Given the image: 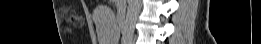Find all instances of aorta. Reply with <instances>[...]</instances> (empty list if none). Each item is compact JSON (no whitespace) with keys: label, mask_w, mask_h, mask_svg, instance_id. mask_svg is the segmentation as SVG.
<instances>
[{"label":"aorta","mask_w":261,"mask_h":44,"mask_svg":"<svg viewBox=\"0 0 261 44\" xmlns=\"http://www.w3.org/2000/svg\"><path fill=\"white\" fill-rule=\"evenodd\" d=\"M140 9V0H128L127 14L122 35L124 44H131L133 41L135 24Z\"/></svg>","instance_id":"762f6f07"}]
</instances>
